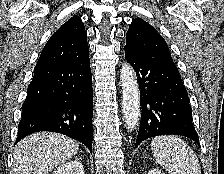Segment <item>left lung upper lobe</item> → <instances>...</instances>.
I'll list each match as a JSON object with an SVG mask.
<instances>
[{
	"instance_id": "left-lung-upper-lobe-1",
	"label": "left lung upper lobe",
	"mask_w": 224,
	"mask_h": 174,
	"mask_svg": "<svg viewBox=\"0 0 224 174\" xmlns=\"http://www.w3.org/2000/svg\"><path fill=\"white\" fill-rule=\"evenodd\" d=\"M125 49L143 56H162L173 61L163 37L146 21L136 18L126 34Z\"/></svg>"
}]
</instances>
